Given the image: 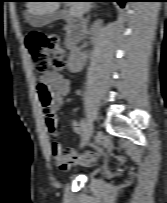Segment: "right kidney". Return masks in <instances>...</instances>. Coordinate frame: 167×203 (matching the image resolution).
I'll list each match as a JSON object with an SVG mask.
<instances>
[{
  "instance_id": "right-kidney-1",
  "label": "right kidney",
  "mask_w": 167,
  "mask_h": 203,
  "mask_svg": "<svg viewBox=\"0 0 167 203\" xmlns=\"http://www.w3.org/2000/svg\"><path fill=\"white\" fill-rule=\"evenodd\" d=\"M102 20H97L94 23V29L99 31L101 29ZM88 58L87 53H82L79 48L72 50L71 55L68 60V67L72 73L80 72Z\"/></svg>"
}]
</instances>
